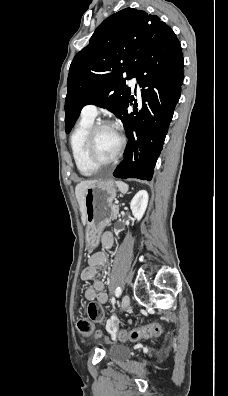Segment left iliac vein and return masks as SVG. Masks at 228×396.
Wrapping results in <instances>:
<instances>
[{
  "label": "left iliac vein",
  "mask_w": 228,
  "mask_h": 396,
  "mask_svg": "<svg viewBox=\"0 0 228 396\" xmlns=\"http://www.w3.org/2000/svg\"><path fill=\"white\" fill-rule=\"evenodd\" d=\"M130 303V298L128 294H125L122 297V301H121V310L124 311L125 309H127V307L129 306Z\"/></svg>",
  "instance_id": "4c4485c4"
}]
</instances>
